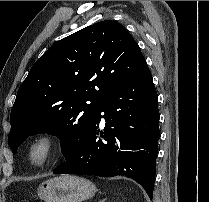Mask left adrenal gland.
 <instances>
[{
    "mask_svg": "<svg viewBox=\"0 0 209 202\" xmlns=\"http://www.w3.org/2000/svg\"><path fill=\"white\" fill-rule=\"evenodd\" d=\"M106 201V199H103V200H101L100 202H105Z\"/></svg>",
    "mask_w": 209,
    "mask_h": 202,
    "instance_id": "obj_1",
    "label": "left adrenal gland"
}]
</instances>
